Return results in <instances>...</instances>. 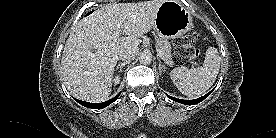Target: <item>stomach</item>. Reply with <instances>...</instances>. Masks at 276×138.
Here are the masks:
<instances>
[{"label": "stomach", "instance_id": "stomach-1", "mask_svg": "<svg viewBox=\"0 0 276 138\" xmlns=\"http://www.w3.org/2000/svg\"><path fill=\"white\" fill-rule=\"evenodd\" d=\"M192 21L191 14L182 4L165 0L157 10L154 28L159 36L175 39L189 31Z\"/></svg>", "mask_w": 276, "mask_h": 138}]
</instances>
